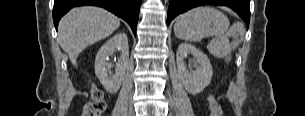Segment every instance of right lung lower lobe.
<instances>
[{
	"instance_id": "right-lung-lower-lobe-1",
	"label": "right lung lower lobe",
	"mask_w": 305,
	"mask_h": 116,
	"mask_svg": "<svg viewBox=\"0 0 305 116\" xmlns=\"http://www.w3.org/2000/svg\"><path fill=\"white\" fill-rule=\"evenodd\" d=\"M142 0H54L53 20L57 30L61 17L74 6L95 5L123 18L136 35L139 8Z\"/></svg>"
}]
</instances>
